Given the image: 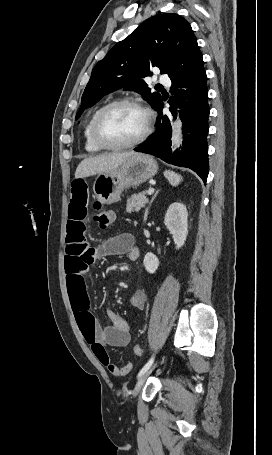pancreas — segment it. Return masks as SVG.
Instances as JSON below:
<instances>
[{
  "label": "pancreas",
  "mask_w": 272,
  "mask_h": 455,
  "mask_svg": "<svg viewBox=\"0 0 272 455\" xmlns=\"http://www.w3.org/2000/svg\"><path fill=\"white\" fill-rule=\"evenodd\" d=\"M147 191H142L139 194H134L130 200L127 202L126 211L128 213L137 212L141 210L149 202L146 197Z\"/></svg>",
  "instance_id": "pancreas-1"
}]
</instances>
